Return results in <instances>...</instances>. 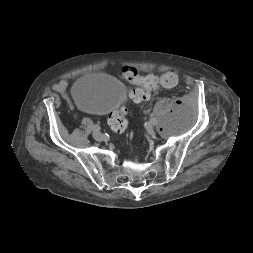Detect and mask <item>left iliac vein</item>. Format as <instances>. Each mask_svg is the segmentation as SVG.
Segmentation results:
<instances>
[{"label":"left iliac vein","instance_id":"obj_1","mask_svg":"<svg viewBox=\"0 0 253 253\" xmlns=\"http://www.w3.org/2000/svg\"><path fill=\"white\" fill-rule=\"evenodd\" d=\"M146 131H147L148 135H150V136H153V135H154V130H153V128H152V124H149V125H148Z\"/></svg>","mask_w":253,"mask_h":253}]
</instances>
